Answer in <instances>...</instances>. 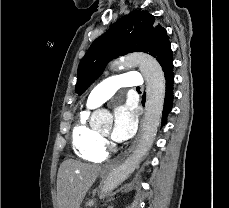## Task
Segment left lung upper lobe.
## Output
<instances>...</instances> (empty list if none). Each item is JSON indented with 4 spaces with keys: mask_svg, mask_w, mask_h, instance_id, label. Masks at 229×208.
Listing matches in <instances>:
<instances>
[{
    "mask_svg": "<svg viewBox=\"0 0 229 208\" xmlns=\"http://www.w3.org/2000/svg\"><path fill=\"white\" fill-rule=\"evenodd\" d=\"M135 51L152 55L163 69L172 60L166 29L157 25L155 17L146 11L123 16L92 43L79 63L75 92L83 94L111 59Z\"/></svg>",
    "mask_w": 229,
    "mask_h": 208,
    "instance_id": "left-lung-upper-lobe-1",
    "label": "left lung upper lobe"
}]
</instances>
